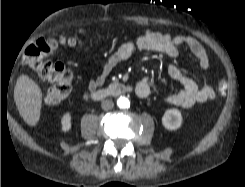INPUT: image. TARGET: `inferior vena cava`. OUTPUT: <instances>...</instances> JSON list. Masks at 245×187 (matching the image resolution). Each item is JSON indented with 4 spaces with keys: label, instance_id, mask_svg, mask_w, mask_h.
Masks as SVG:
<instances>
[{
    "label": "inferior vena cava",
    "instance_id": "obj_1",
    "mask_svg": "<svg viewBox=\"0 0 245 187\" xmlns=\"http://www.w3.org/2000/svg\"><path fill=\"white\" fill-rule=\"evenodd\" d=\"M101 107L103 110L108 111L111 110L114 107V103L112 100H104L101 103Z\"/></svg>",
    "mask_w": 245,
    "mask_h": 187
}]
</instances>
